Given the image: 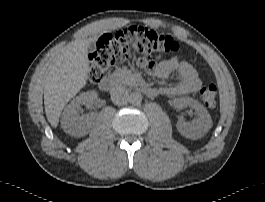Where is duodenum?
<instances>
[{"label": "duodenum", "instance_id": "duodenum-1", "mask_svg": "<svg viewBox=\"0 0 265 202\" xmlns=\"http://www.w3.org/2000/svg\"><path fill=\"white\" fill-rule=\"evenodd\" d=\"M115 85L116 79L113 76H105L99 82V88L104 91H110L114 89ZM141 91L149 96L154 95L156 93V90L154 88L148 86L141 87Z\"/></svg>", "mask_w": 265, "mask_h": 202}]
</instances>
